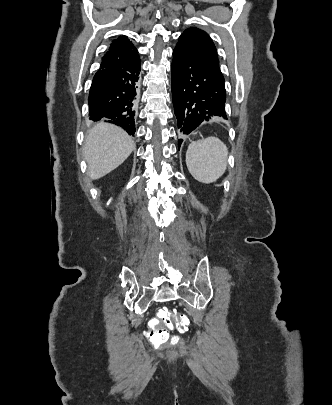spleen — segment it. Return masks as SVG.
<instances>
[{
  "instance_id": "3e777b00",
  "label": "spleen",
  "mask_w": 332,
  "mask_h": 405,
  "mask_svg": "<svg viewBox=\"0 0 332 405\" xmlns=\"http://www.w3.org/2000/svg\"><path fill=\"white\" fill-rule=\"evenodd\" d=\"M227 146L217 137L192 142L186 152L190 174L201 183L216 182L227 168Z\"/></svg>"
}]
</instances>
